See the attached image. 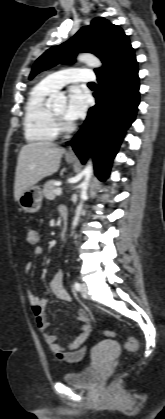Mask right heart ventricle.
<instances>
[{
    "mask_svg": "<svg viewBox=\"0 0 165 419\" xmlns=\"http://www.w3.org/2000/svg\"><path fill=\"white\" fill-rule=\"evenodd\" d=\"M54 90L42 82L29 93L24 113V133L28 141L49 142L58 136V128L47 99Z\"/></svg>",
    "mask_w": 165,
    "mask_h": 419,
    "instance_id": "e07e8e85",
    "label": "right heart ventricle"
}]
</instances>
